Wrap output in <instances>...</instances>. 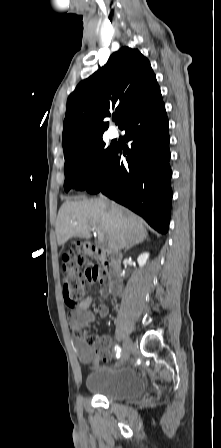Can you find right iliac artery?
I'll return each mask as SVG.
<instances>
[{
  "label": "right iliac artery",
  "instance_id": "82829eb1",
  "mask_svg": "<svg viewBox=\"0 0 221 448\" xmlns=\"http://www.w3.org/2000/svg\"><path fill=\"white\" fill-rule=\"evenodd\" d=\"M115 350H116V353H117V358L120 357L121 348L119 346H116Z\"/></svg>",
  "mask_w": 221,
  "mask_h": 448
}]
</instances>
